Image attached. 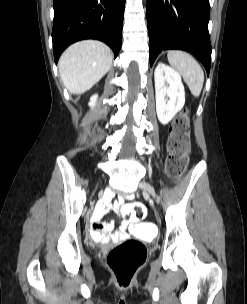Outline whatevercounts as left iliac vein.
Wrapping results in <instances>:
<instances>
[{"instance_id":"left-iliac-vein-1","label":"left iliac vein","mask_w":247,"mask_h":304,"mask_svg":"<svg viewBox=\"0 0 247 304\" xmlns=\"http://www.w3.org/2000/svg\"><path fill=\"white\" fill-rule=\"evenodd\" d=\"M140 187H141L144 191H146V192H148L149 194H151L154 198L156 197L155 191H154L153 187H152L150 184H148V183L142 181V182L140 183Z\"/></svg>"}]
</instances>
